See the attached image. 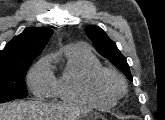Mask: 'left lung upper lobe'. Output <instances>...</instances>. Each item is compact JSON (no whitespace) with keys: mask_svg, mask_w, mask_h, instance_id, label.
<instances>
[{"mask_svg":"<svg viewBox=\"0 0 165 120\" xmlns=\"http://www.w3.org/2000/svg\"><path fill=\"white\" fill-rule=\"evenodd\" d=\"M85 32L92 41L96 50L117 68H119L127 78L132 81L129 65L125 57L120 53L116 44L106 35L103 29L98 26H87Z\"/></svg>","mask_w":165,"mask_h":120,"instance_id":"left-lung-upper-lobe-1","label":"left lung upper lobe"}]
</instances>
